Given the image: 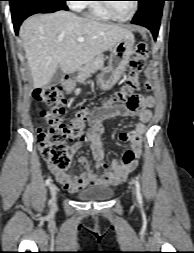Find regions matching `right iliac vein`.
<instances>
[{
	"label": "right iliac vein",
	"mask_w": 194,
	"mask_h": 253,
	"mask_svg": "<svg viewBox=\"0 0 194 253\" xmlns=\"http://www.w3.org/2000/svg\"><path fill=\"white\" fill-rule=\"evenodd\" d=\"M50 192H51V206L54 207L56 205L57 192H58V189L54 184L50 185Z\"/></svg>",
	"instance_id": "1"
}]
</instances>
